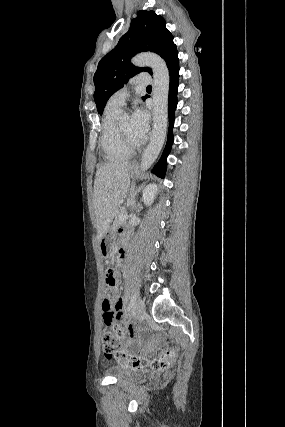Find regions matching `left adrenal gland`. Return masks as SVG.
<instances>
[{"mask_svg":"<svg viewBox=\"0 0 285 427\" xmlns=\"http://www.w3.org/2000/svg\"><path fill=\"white\" fill-rule=\"evenodd\" d=\"M140 189H138L139 191ZM137 194V191H135V193L131 196V198L129 199V204L132 207V210H136V201H135V195Z\"/></svg>","mask_w":285,"mask_h":427,"instance_id":"obj_1","label":"left adrenal gland"}]
</instances>
